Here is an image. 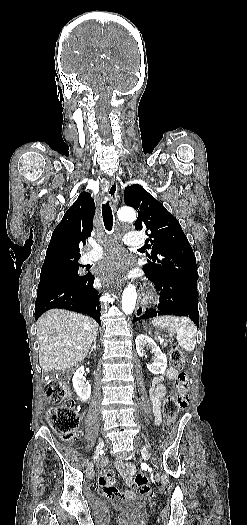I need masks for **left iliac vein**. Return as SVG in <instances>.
Masks as SVG:
<instances>
[{
  "mask_svg": "<svg viewBox=\"0 0 247 525\" xmlns=\"http://www.w3.org/2000/svg\"><path fill=\"white\" fill-rule=\"evenodd\" d=\"M141 454L145 457V458H149L150 457V454L148 452V450L146 449H141Z\"/></svg>",
  "mask_w": 247,
  "mask_h": 525,
  "instance_id": "4c4485c4",
  "label": "left iliac vein"
}]
</instances>
